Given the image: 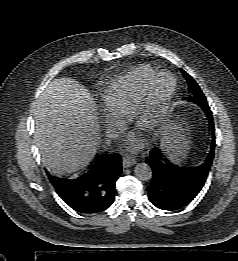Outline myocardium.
I'll return each instance as SVG.
<instances>
[{
    "label": "myocardium",
    "instance_id": "myocardium-1",
    "mask_svg": "<svg viewBox=\"0 0 238 261\" xmlns=\"http://www.w3.org/2000/svg\"><path fill=\"white\" fill-rule=\"evenodd\" d=\"M169 76L172 80V85L166 96L157 103H153L150 97V90L153 83L160 76ZM177 90V78L167 70L156 71L143 84L139 98L131 113V120L135 126H138L140 121L146 120L145 130L149 132L155 131L164 121L169 105Z\"/></svg>",
    "mask_w": 238,
    "mask_h": 261
}]
</instances>
